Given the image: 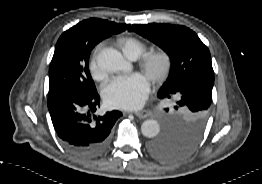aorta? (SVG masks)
Masks as SVG:
<instances>
[{
  "label": "aorta",
  "instance_id": "aorta-1",
  "mask_svg": "<svg viewBox=\"0 0 262 184\" xmlns=\"http://www.w3.org/2000/svg\"><path fill=\"white\" fill-rule=\"evenodd\" d=\"M142 134L148 138L156 136L159 132V123L155 120H146L142 124Z\"/></svg>",
  "mask_w": 262,
  "mask_h": 184
}]
</instances>
